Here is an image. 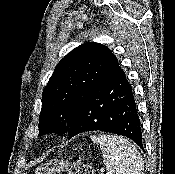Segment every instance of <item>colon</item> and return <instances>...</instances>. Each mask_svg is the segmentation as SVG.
<instances>
[{
  "mask_svg": "<svg viewBox=\"0 0 175 174\" xmlns=\"http://www.w3.org/2000/svg\"><path fill=\"white\" fill-rule=\"evenodd\" d=\"M64 171L68 174H95L89 164L75 155L46 161L36 168L35 174H59Z\"/></svg>",
  "mask_w": 175,
  "mask_h": 174,
  "instance_id": "5ec220e1",
  "label": "colon"
}]
</instances>
